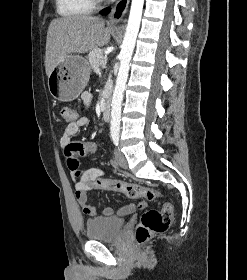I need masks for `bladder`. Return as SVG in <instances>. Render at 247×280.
<instances>
[{"instance_id":"1","label":"bladder","mask_w":247,"mask_h":280,"mask_svg":"<svg viewBox=\"0 0 247 280\" xmlns=\"http://www.w3.org/2000/svg\"><path fill=\"white\" fill-rule=\"evenodd\" d=\"M124 220L118 217H96L88 219L85 234L89 240L113 241L122 233Z\"/></svg>"}]
</instances>
